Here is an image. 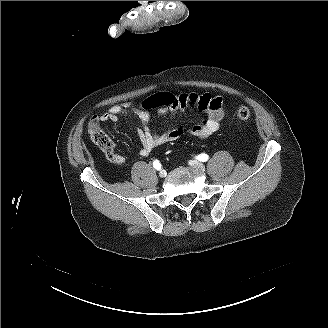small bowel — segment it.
<instances>
[{"label": "small bowel", "mask_w": 328, "mask_h": 328, "mask_svg": "<svg viewBox=\"0 0 328 328\" xmlns=\"http://www.w3.org/2000/svg\"><path fill=\"white\" fill-rule=\"evenodd\" d=\"M177 97L178 102L170 110L159 112L160 119L167 115L182 113L189 106L196 107L205 115V118L192 126H174L165 131L154 133L150 128L151 114L144 108L128 102L110 107L100 115L99 119L102 122H116L120 115H135L141 122V126L137 128V134L141 142L139 154L142 157H147L156 147L175 141L185 134L206 139L219 130L225 115L224 101L221 96H212L209 93H185L179 94ZM105 155L115 164L122 165L126 162V157L123 154L115 153L114 150L105 153Z\"/></svg>", "instance_id": "c3829d8e"}]
</instances>
